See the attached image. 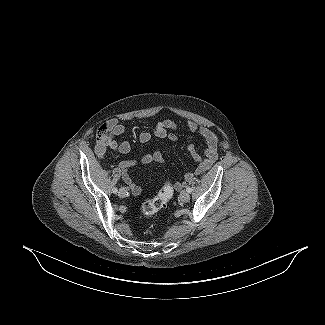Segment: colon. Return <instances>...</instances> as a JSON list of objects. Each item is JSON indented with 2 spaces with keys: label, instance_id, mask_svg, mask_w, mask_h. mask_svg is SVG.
I'll return each instance as SVG.
<instances>
[{
  "label": "colon",
  "instance_id": "obj_1",
  "mask_svg": "<svg viewBox=\"0 0 325 325\" xmlns=\"http://www.w3.org/2000/svg\"><path fill=\"white\" fill-rule=\"evenodd\" d=\"M105 135V128L100 129L98 136L102 138ZM174 193L173 185L170 181H166L158 194L152 198L143 202L141 206V212L144 216H152L158 211L166 207Z\"/></svg>",
  "mask_w": 325,
  "mask_h": 325
}]
</instances>
